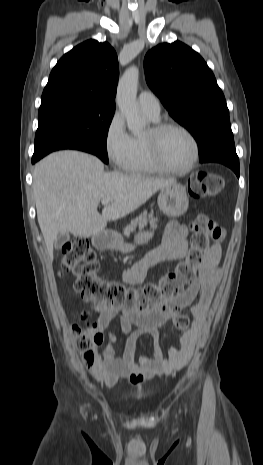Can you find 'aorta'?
<instances>
[{"label":"aorta","instance_id":"aorta-1","mask_svg":"<svg viewBox=\"0 0 263 465\" xmlns=\"http://www.w3.org/2000/svg\"><path fill=\"white\" fill-rule=\"evenodd\" d=\"M139 70L132 66L120 78L117 86L116 102L126 118L128 128L137 133L145 126V120L139 113L136 101Z\"/></svg>","mask_w":263,"mask_h":465}]
</instances>
